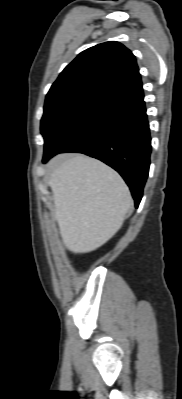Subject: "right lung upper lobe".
<instances>
[{
	"label": "right lung upper lobe",
	"mask_w": 182,
	"mask_h": 399,
	"mask_svg": "<svg viewBox=\"0 0 182 399\" xmlns=\"http://www.w3.org/2000/svg\"><path fill=\"white\" fill-rule=\"evenodd\" d=\"M142 87L135 56L119 42H105L81 52L61 72L46 99L87 94L107 100Z\"/></svg>",
	"instance_id": "right-lung-upper-lobe-1"
}]
</instances>
